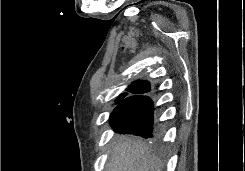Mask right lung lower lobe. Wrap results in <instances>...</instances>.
<instances>
[{"label": "right lung lower lobe", "instance_id": "98d812e1", "mask_svg": "<svg viewBox=\"0 0 245 171\" xmlns=\"http://www.w3.org/2000/svg\"><path fill=\"white\" fill-rule=\"evenodd\" d=\"M154 103L147 96H139L121 102L110 116L115 132L152 137L154 129Z\"/></svg>", "mask_w": 245, "mask_h": 171}]
</instances>
